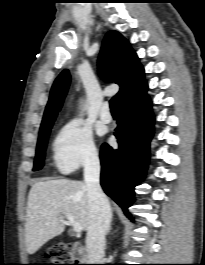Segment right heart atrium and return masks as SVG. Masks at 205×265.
Segmentation results:
<instances>
[{"label": "right heart atrium", "mask_w": 205, "mask_h": 265, "mask_svg": "<svg viewBox=\"0 0 205 265\" xmlns=\"http://www.w3.org/2000/svg\"><path fill=\"white\" fill-rule=\"evenodd\" d=\"M53 161L63 173H71L98 162L92 132L83 121L72 119L59 130L53 143Z\"/></svg>", "instance_id": "obj_1"}]
</instances>
